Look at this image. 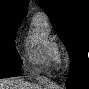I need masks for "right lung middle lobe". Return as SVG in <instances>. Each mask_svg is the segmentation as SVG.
Returning <instances> with one entry per match:
<instances>
[{
	"instance_id": "1",
	"label": "right lung middle lobe",
	"mask_w": 89,
	"mask_h": 89,
	"mask_svg": "<svg viewBox=\"0 0 89 89\" xmlns=\"http://www.w3.org/2000/svg\"><path fill=\"white\" fill-rule=\"evenodd\" d=\"M20 22L0 17V78L21 74L22 63L14 46V38Z\"/></svg>"
}]
</instances>
